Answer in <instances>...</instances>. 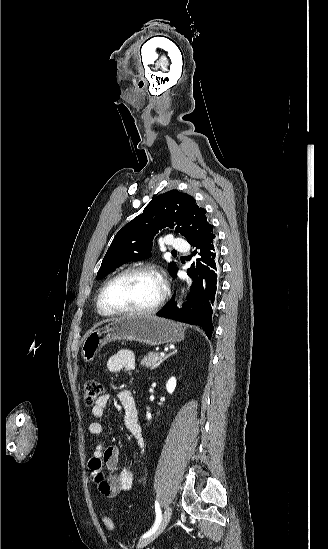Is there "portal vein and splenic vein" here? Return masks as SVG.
Listing matches in <instances>:
<instances>
[{"mask_svg": "<svg viewBox=\"0 0 328 549\" xmlns=\"http://www.w3.org/2000/svg\"><path fill=\"white\" fill-rule=\"evenodd\" d=\"M160 357H165V353H160Z\"/></svg>", "mask_w": 328, "mask_h": 549, "instance_id": "portal-vein-and-splenic-vein-1", "label": "portal vein and splenic vein"}]
</instances>
